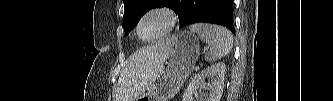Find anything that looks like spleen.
I'll use <instances>...</instances> for the list:
<instances>
[{"label": "spleen", "mask_w": 333, "mask_h": 101, "mask_svg": "<svg viewBox=\"0 0 333 101\" xmlns=\"http://www.w3.org/2000/svg\"><path fill=\"white\" fill-rule=\"evenodd\" d=\"M190 31L197 33L199 38L206 42L209 47L205 60L214 62L226 56L233 47V37L228 29L218 25L206 23L193 24Z\"/></svg>", "instance_id": "spleen-1"}]
</instances>
